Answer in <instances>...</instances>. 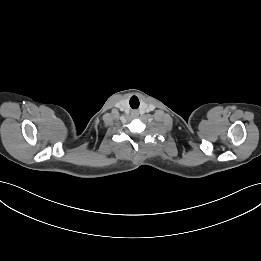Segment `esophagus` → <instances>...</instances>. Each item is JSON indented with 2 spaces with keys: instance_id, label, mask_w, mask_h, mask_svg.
Masks as SVG:
<instances>
[{
  "instance_id": "1",
  "label": "esophagus",
  "mask_w": 261,
  "mask_h": 261,
  "mask_svg": "<svg viewBox=\"0 0 261 261\" xmlns=\"http://www.w3.org/2000/svg\"><path fill=\"white\" fill-rule=\"evenodd\" d=\"M133 115H134V116H138V113H137V112H133Z\"/></svg>"
}]
</instances>
